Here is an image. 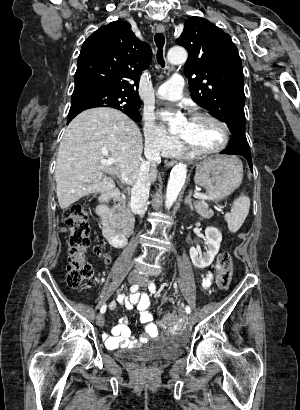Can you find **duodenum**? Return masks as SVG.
<instances>
[{
    "label": "duodenum",
    "instance_id": "410a0bca",
    "mask_svg": "<svg viewBox=\"0 0 300 410\" xmlns=\"http://www.w3.org/2000/svg\"><path fill=\"white\" fill-rule=\"evenodd\" d=\"M120 198L121 193L115 190L100 200L97 206L98 214L103 221L102 234L114 248L124 247L128 242V237L117 228V211L112 204Z\"/></svg>",
    "mask_w": 300,
    "mask_h": 410
}]
</instances>
